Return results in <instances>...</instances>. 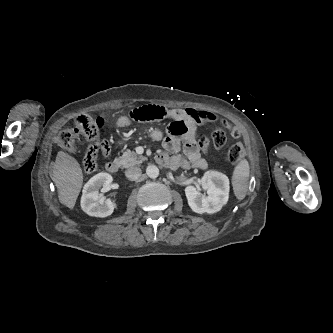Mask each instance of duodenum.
<instances>
[{
	"label": "duodenum",
	"instance_id": "1",
	"mask_svg": "<svg viewBox=\"0 0 333 333\" xmlns=\"http://www.w3.org/2000/svg\"><path fill=\"white\" fill-rule=\"evenodd\" d=\"M108 172L116 173L119 170V164L116 161L108 162L106 165Z\"/></svg>",
	"mask_w": 333,
	"mask_h": 333
}]
</instances>
